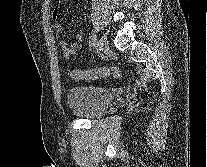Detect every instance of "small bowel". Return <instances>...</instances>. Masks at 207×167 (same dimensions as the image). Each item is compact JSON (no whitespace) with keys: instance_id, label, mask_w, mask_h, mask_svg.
Returning <instances> with one entry per match:
<instances>
[{"instance_id":"1","label":"small bowel","mask_w":207,"mask_h":167,"mask_svg":"<svg viewBox=\"0 0 207 167\" xmlns=\"http://www.w3.org/2000/svg\"><path fill=\"white\" fill-rule=\"evenodd\" d=\"M58 15H59V10H58V8H55V10L53 12L54 28H55V31L58 34H60L63 31V27H62V24L58 21ZM83 37H84L83 31H79L76 34V39L78 42L82 41ZM60 46H61L62 56L66 59L73 56L78 50V45L76 43L69 44L64 40H62L60 42Z\"/></svg>"}]
</instances>
